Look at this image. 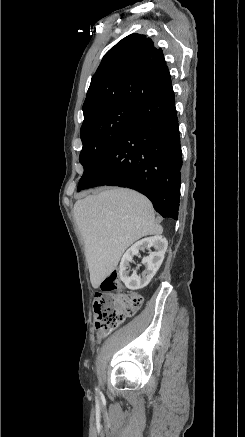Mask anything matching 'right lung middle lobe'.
I'll return each instance as SVG.
<instances>
[{
  "instance_id": "dd1d6c3e",
  "label": "right lung middle lobe",
  "mask_w": 245,
  "mask_h": 437,
  "mask_svg": "<svg viewBox=\"0 0 245 437\" xmlns=\"http://www.w3.org/2000/svg\"><path fill=\"white\" fill-rule=\"evenodd\" d=\"M137 109L135 104L116 102L98 107L84 117L80 131L83 148L79 158L84 172L78 189L115 145Z\"/></svg>"
}]
</instances>
